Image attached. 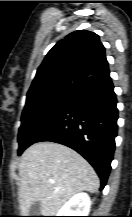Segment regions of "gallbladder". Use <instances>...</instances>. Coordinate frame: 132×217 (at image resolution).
I'll list each match as a JSON object with an SVG mask.
<instances>
[{"instance_id":"obj_1","label":"gallbladder","mask_w":132,"mask_h":217,"mask_svg":"<svg viewBox=\"0 0 132 217\" xmlns=\"http://www.w3.org/2000/svg\"><path fill=\"white\" fill-rule=\"evenodd\" d=\"M30 216H38L40 214V203L34 202L30 207Z\"/></svg>"}]
</instances>
